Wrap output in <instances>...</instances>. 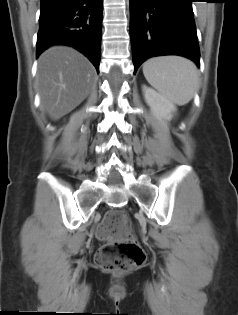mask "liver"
<instances>
[{"label":"liver","instance_id":"6515ba94","mask_svg":"<svg viewBox=\"0 0 238 315\" xmlns=\"http://www.w3.org/2000/svg\"><path fill=\"white\" fill-rule=\"evenodd\" d=\"M96 71L89 60L67 46H53L38 60L41 103L53 120L76 108L90 93Z\"/></svg>","mask_w":238,"mask_h":315}]
</instances>
